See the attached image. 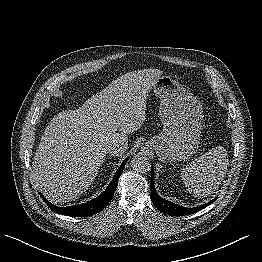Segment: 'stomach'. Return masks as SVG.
Segmentation results:
<instances>
[{
  "instance_id": "stomach-1",
  "label": "stomach",
  "mask_w": 262,
  "mask_h": 262,
  "mask_svg": "<svg viewBox=\"0 0 262 262\" xmlns=\"http://www.w3.org/2000/svg\"><path fill=\"white\" fill-rule=\"evenodd\" d=\"M153 91L161 100L163 131L150 138L147 145L163 162L189 159L200 144L204 119L200 102L170 76H161Z\"/></svg>"
}]
</instances>
